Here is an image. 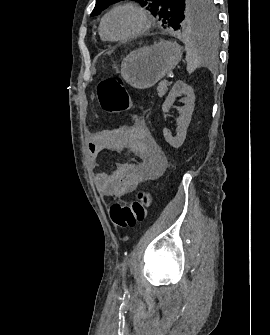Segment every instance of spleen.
<instances>
[{
    "label": "spleen",
    "mask_w": 270,
    "mask_h": 335,
    "mask_svg": "<svg viewBox=\"0 0 270 335\" xmlns=\"http://www.w3.org/2000/svg\"><path fill=\"white\" fill-rule=\"evenodd\" d=\"M180 38L182 42H184L185 48L187 50V72H189V74H192L195 68H198V66L203 64V62H212V60H214V56L213 54H210L207 46L205 50H203L202 44H192V42H188L185 36H180Z\"/></svg>",
    "instance_id": "3e777b00"
}]
</instances>
